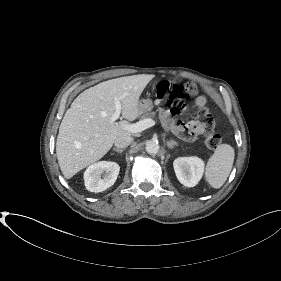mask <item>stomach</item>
<instances>
[{"instance_id": "0dacf381", "label": "stomach", "mask_w": 281, "mask_h": 281, "mask_svg": "<svg viewBox=\"0 0 281 281\" xmlns=\"http://www.w3.org/2000/svg\"><path fill=\"white\" fill-rule=\"evenodd\" d=\"M138 107H139V114L141 115L153 109V102L151 99H142L139 101Z\"/></svg>"}]
</instances>
